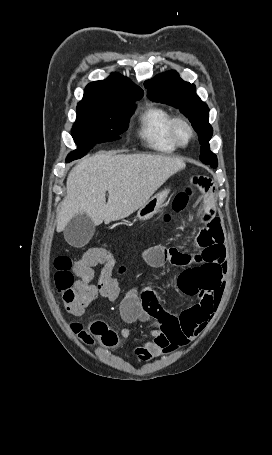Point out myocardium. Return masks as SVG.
I'll return each instance as SVG.
<instances>
[{
	"label": "myocardium",
	"instance_id": "myocardium-1",
	"mask_svg": "<svg viewBox=\"0 0 272 455\" xmlns=\"http://www.w3.org/2000/svg\"><path fill=\"white\" fill-rule=\"evenodd\" d=\"M180 125L185 126L189 131V138L186 141H181L178 136V127ZM169 135L173 143L178 148H186L190 145L195 137V130L190 121L183 116H173L169 123Z\"/></svg>",
	"mask_w": 272,
	"mask_h": 455
}]
</instances>
